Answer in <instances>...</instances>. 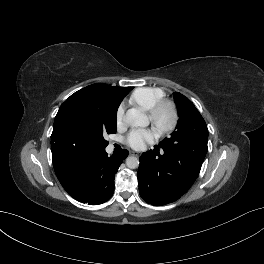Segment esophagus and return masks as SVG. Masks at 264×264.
<instances>
[{"label": "esophagus", "mask_w": 264, "mask_h": 264, "mask_svg": "<svg viewBox=\"0 0 264 264\" xmlns=\"http://www.w3.org/2000/svg\"><path fill=\"white\" fill-rule=\"evenodd\" d=\"M130 155H135V156H138V154L136 152H130Z\"/></svg>", "instance_id": "34e87169"}]
</instances>
